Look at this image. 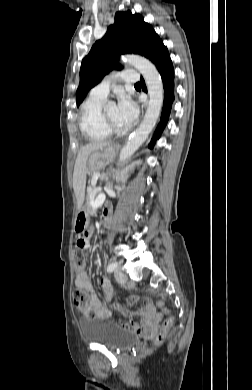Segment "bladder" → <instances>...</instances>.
I'll list each match as a JSON object with an SVG mask.
<instances>
[{
	"instance_id": "31cf9c89",
	"label": "bladder",
	"mask_w": 252,
	"mask_h": 390,
	"mask_svg": "<svg viewBox=\"0 0 252 390\" xmlns=\"http://www.w3.org/2000/svg\"><path fill=\"white\" fill-rule=\"evenodd\" d=\"M80 329L86 340L114 350H123L138 341L129 330L97 317L81 320Z\"/></svg>"
}]
</instances>
